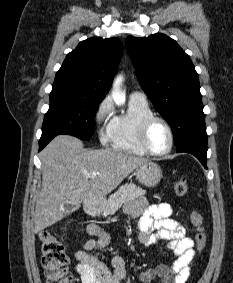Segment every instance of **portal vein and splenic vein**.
I'll return each mask as SVG.
<instances>
[{"instance_id":"portal-vein-and-splenic-vein-1","label":"portal vein and splenic vein","mask_w":233,"mask_h":283,"mask_svg":"<svg viewBox=\"0 0 233 283\" xmlns=\"http://www.w3.org/2000/svg\"><path fill=\"white\" fill-rule=\"evenodd\" d=\"M97 175H99L98 172H91V173H88V174H87V176L90 177V178L95 177V176H97Z\"/></svg>"}]
</instances>
